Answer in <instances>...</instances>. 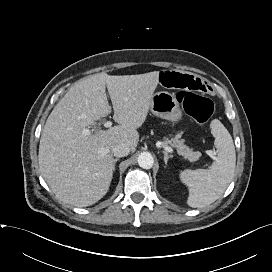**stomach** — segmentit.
I'll list each match as a JSON object with an SVG mask.
<instances>
[{
    "instance_id": "obj_1",
    "label": "stomach",
    "mask_w": 272,
    "mask_h": 272,
    "mask_svg": "<svg viewBox=\"0 0 272 272\" xmlns=\"http://www.w3.org/2000/svg\"><path fill=\"white\" fill-rule=\"evenodd\" d=\"M150 110L154 115L172 122H177L182 117L176 97L166 91L153 94Z\"/></svg>"
}]
</instances>
